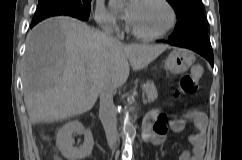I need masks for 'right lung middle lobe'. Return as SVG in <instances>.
<instances>
[{"mask_svg":"<svg viewBox=\"0 0 242 160\" xmlns=\"http://www.w3.org/2000/svg\"><path fill=\"white\" fill-rule=\"evenodd\" d=\"M91 0H39L32 23H38L50 16H72L88 20Z\"/></svg>","mask_w":242,"mask_h":160,"instance_id":"dd1d6c3e","label":"right lung middle lobe"}]
</instances>
